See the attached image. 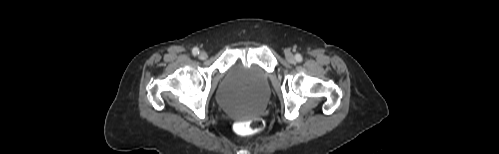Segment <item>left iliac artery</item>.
Instances as JSON below:
<instances>
[{
    "label": "left iliac artery",
    "mask_w": 499,
    "mask_h": 154,
    "mask_svg": "<svg viewBox=\"0 0 499 154\" xmlns=\"http://www.w3.org/2000/svg\"><path fill=\"white\" fill-rule=\"evenodd\" d=\"M295 58L297 62H302V56L300 54H296Z\"/></svg>",
    "instance_id": "44dca946"
}]
</instances>
